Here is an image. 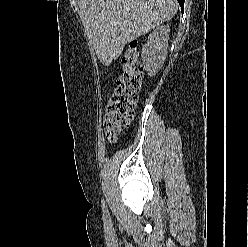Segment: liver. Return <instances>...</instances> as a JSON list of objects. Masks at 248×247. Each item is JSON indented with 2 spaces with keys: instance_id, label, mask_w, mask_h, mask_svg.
<instances>
[{
  "instance_id": "liver-1",
  "label": "liver",
  "mask_w": 248,
  "mask_h": 247,
  "mask_svg": "<svg viewBox=\"0 0 248 247\" xmlns=\"http://www.w3.org/2000/svg\"><path fill=\"white\" fill-rule=\"evenodd\" d=\"M80 19L101 62L109 66L127 43L174 17L176 0H78Z\"/></svg>"
}]
</instances>
